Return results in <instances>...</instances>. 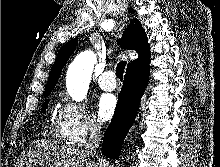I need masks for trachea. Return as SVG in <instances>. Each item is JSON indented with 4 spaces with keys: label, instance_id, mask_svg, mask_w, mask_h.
<instances>
[{
    "label": "trachea",
    "instance_id": "3493384b",
    "mask_svg": "<svg viewBox=\"0 0 220 167\" xmlns=\"http://www.w3.org/2000/svg\"><path fill=\"white\" fill-rule=\"evenodd\" d=\"M125 66H126V62L125 61H121V62H119L117 64V67H116V76L121 81L123 79V73H124V70H125Z\"/></svg>",
    "mask_w": 220,
    "mask_h": 167
}]
</instances>
